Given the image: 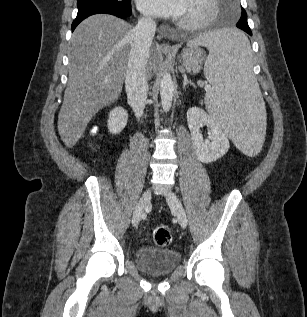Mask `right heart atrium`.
Wrapping results in <instances>:
<instances>
[{
	"label": "right heart atrium",
	"instance_id": "right-heart-atrium-1",
	"mask_svg": "<svg viewBox=\"0 0 307 317\" xmlns=\"http://www.w3.org/2000/svg\"><path fill=\"white\" fill-rule=\"evenodd\" d=\"M143 21H144V22H149V19L143 18Z\"/></svg>",
	"mask_w": 307,
	"mask_h": 317
}]
</instances>
